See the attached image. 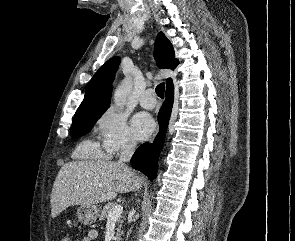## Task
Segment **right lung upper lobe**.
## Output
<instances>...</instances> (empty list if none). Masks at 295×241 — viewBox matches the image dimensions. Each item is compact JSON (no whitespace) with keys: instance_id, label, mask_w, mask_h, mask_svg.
Wrapping results in <instances>:
<instances>
[{"instance_id":"cb5924a9","label":"right lung upper lobe","mask_w":295,"mask_h":241,"mask_svg":"<svg viewBox=\"0 0 295 241\" xmlns=\"http://www.w3.org/2000/svg\"><path fill=\"white\" fill-rule=\"evenodd\" d=\"M154 55L160 68L175 69L178 65L172 44L162 32L157 35ZM119 64L120 57L115 56L98 69L90 80L84 99L77 111L93 110L109 105L112 93L111 83L114 80ZM166 84L167 86L173 84L172 79L168 78Z\"/></svg>"}]
</instances>
